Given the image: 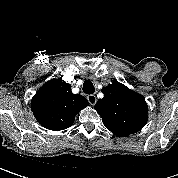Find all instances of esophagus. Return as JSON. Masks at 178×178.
I'll return each instance as SVG.
<instances>
[{"label": "esophagus", "instance_id": "obj_1", "mask_svg": "<svg viewBox=\"0 0 178 178\" xmlns=\"http://www.w3.org/2000/svg\"><path fill=\"white\" fill-rule=\"evenodd\" d=\"M87 100L90 103V105H95L97 102V98L95 95L91 94L87 96Z\"/></svg>", "mask_w": 178, "mask_h": 178}]
</instances>
